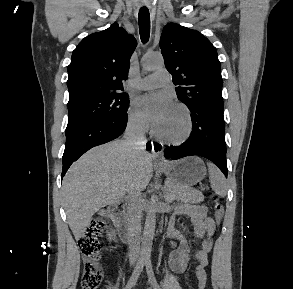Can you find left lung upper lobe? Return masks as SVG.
I'll return each instance as SVG.
<instances>
[{
    "label": "left lung upper lobe",
    "instance_id": "left-lung-upper-lobe-1",
    "mask_svg": "<svg viewBox=\"0 0 293 289\" xmlns=\"http://www.w3.org/2000/svg\"><path fill=\"white\" fill-rule=\"evenodd\" d=\"M160 48L166 69L178 85L179 100L189 110L204 106L223 111L221 65L211 42L196 30L168 23Z\"/></svg>",
    "mask_w": 293,
    "mask_h": 289
}]
</instances>
